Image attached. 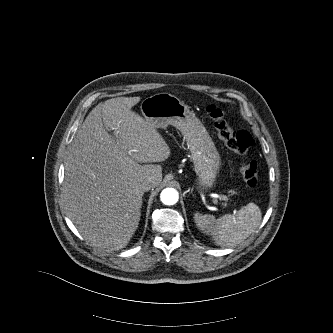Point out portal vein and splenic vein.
<instances>
[{"mask_svg": "<svg viewBox=\"0 0 333 333\" xmlns=\"http://www.w3.org/2000/svg\"><path fill=\"white\" fill-rule=\"evenodd\" d=\"M210 196L213 197V198H218V199H222V200H225V201L227 200L226 196L220 195V194H216V193H212V194H210Z\"/></svg>", "mask_w": 333, "mask_h": 333, "instance_id": "portal-vein-and-splenic-vein-1", "label": "portal vein and splenic vein"}]
</instances>
